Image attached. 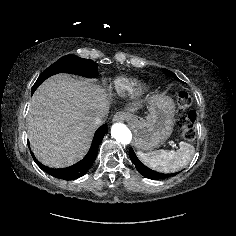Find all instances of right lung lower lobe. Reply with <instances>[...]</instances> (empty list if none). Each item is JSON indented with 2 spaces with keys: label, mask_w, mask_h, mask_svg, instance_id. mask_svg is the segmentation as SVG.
<instances>
[{
  "label": "right lung lower lobe",
  "mask_w": 236,
  "mask_h": 236,
  "mask_svg": "<svg viewBox=\"0 0 236 236\" xmlns=\"http://www.w3.org/2000/svg\"><path fill=\"white\" fill-rule=\"evenodd\" d=\"M106 131H107V125L106 124L102 125L96 131V133L94 135L92 145H91V148H90L88 154L84 157V159H82L81 161H79L78 163H76L70 167L61 168V169H52V168L46 167L43 164H41L35 158V156L32 152H31V154H32V157H33L34 161L36 162V164L42 170H44L46 173H48L58 179L74 180L79 177H82L89 170L91 165L93 164V162L97 156V153H98V146L101 143Z\"/></svg>",
  "instance_id": "98d812e1"
}]
</instances>
